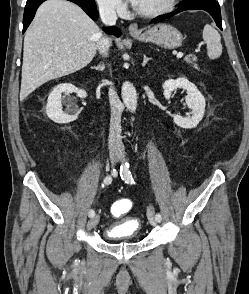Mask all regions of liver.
Instances as JSON below:
<instances>
[{"label": "liver", "instance_id": "1", "mask_svg": "<svg viewBox=\"0 0 249 294\" xmlns=\"http://www.w3.org/2000/svg\"><path fill=\"white\" fill-rule=\"evenodd\" d=\"M102 38L99 27L79 6L45 1L25 34L20 99L50 80L84 68Z\"/></svg>", "mask_w": 249, "mask_h": 294}]
</instances>
